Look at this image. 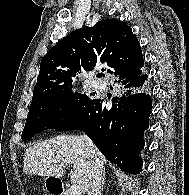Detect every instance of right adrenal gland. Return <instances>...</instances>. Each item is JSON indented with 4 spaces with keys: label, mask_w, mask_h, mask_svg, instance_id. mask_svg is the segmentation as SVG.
<instances>
[{
    "label": "right adrenal gland",
    "mask_w": 189,
    "mask_h": 195,
    "mask_svg": "<svg viewBox=\"0 0 189 195\" xmlns=\"http://www.w3.org/2000/svg\"><path fill=\"white\" fill-rule=\"evenodd\" d=\"M105 176L106 172L105 169L103 170V175H102V182H101V191L103 190L104 184H105Z\"/></svg>",
    "instance_id": "obj_1"
}]
</instances>
